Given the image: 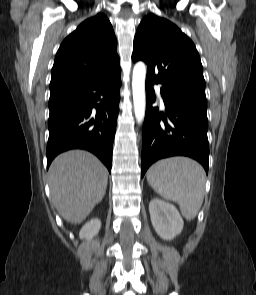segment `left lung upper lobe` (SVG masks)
<instances>
[{
  "mask_svg": "<svg viewBox=\"0 0 256 295\" xmlns=\"http://www.w3.org/2000/svg\"><path fill=\"white\" fill-rule=\"evenodd\" d=\"M132 59L148 65L147 78L168 95L207 105L205 80L194 43L176 25L154 14L140 23Z\"/></svg>",
  "mask_w": 256,
  "mask_h": 295,
  "instance_id": "obj_1",
  "label": "left lung upper lobe"
}]
</instances>
